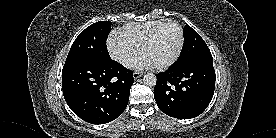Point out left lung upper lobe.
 <instances>
[{
	"instance_id": "left-lung-upper-lobe-1",
	"label": "left lung upper lobe",
	"mask_w": 276,
	"mask_h": 138,
	"mask_svg": "<svg viewBox=\"0 0 276 138\" xmlns=\"http://www.w3.org/2000/svg\"><path fill=\"white\" fill-rule=\"evenodd\" d=\"M204 56H211L208 46L193 28L186 25L184 29V45L182 52L173 66L190 63L193 60Z\"/></svg>"
}]
</instances>
